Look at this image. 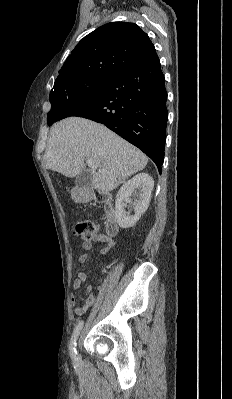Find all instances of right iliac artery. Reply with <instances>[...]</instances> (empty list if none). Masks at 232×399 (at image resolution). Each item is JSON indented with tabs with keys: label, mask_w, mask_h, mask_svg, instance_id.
<instances>
[{
	"label": "right iliac artery",
	"mask_w": 232,
	"mask_h": 399,
	"mask_svg": "<svg viewBox=\"0 0 232 399\" xmlns=\"http://www.w3.org/2000/svg\"><path fill=\"white\" fill-rule=\"evenodd\" d=\"M82 327H83V321H80L77 324V326L75 327L74 332L71 337L70 355H71V359H72L74 365H77L79 362L78 357H77V351H76V346H77L76 341H77V336L80 333V330L82 329Z\"/></svg>",
	"instance_id": "1"
}]
</instances>
